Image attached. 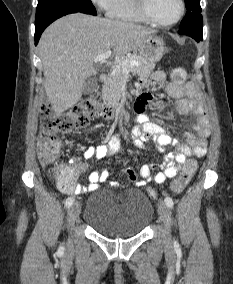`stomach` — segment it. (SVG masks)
Here are the masks:
<instances>
[{
    "label": "stomach",
    "instance_id": "0dacf381",
    "mask_svg": "<svg viewBox=\"0 0 233 284\" xmlns=\"http://www.w3.org/2000/svg\"><path fill=\"white\" fill-rule=\"evenodd\" d=\"M138 51L144 60L155 64L162 58L165 52V44L162 38L150 35L144 40Z\"/></svg>",
    "mask_w": 233,
    "mask_h": 284
}]
</instances>
